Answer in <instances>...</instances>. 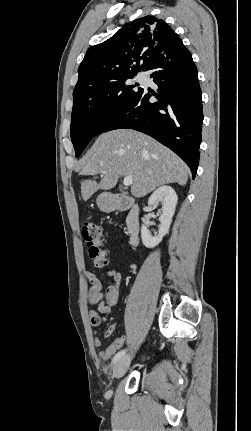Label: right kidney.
Wrapping results in <instances>:
<instances>
[{
    "label": "right kidney",
    "mask_w": 251,
    "mask_h": 431,
    "mask_svg": "<svg viewBox=\"0 0 251 431\" xmlns=\"http://www.w3.org/2000/svg\"><path fill=\"white\" fill-rule=\"evenodd\" d=\"M177 194L174 189L170 186H161L156 189L148 200V205H155L159 202L162 203V214L159 218L161 225L159 228V234L152 236L148 228L143 224L141 227V238L143 245L147 248H154L168 234L175 208L177 204ZM147 218V216H145Z\"/></svg>",
    "instance_id": "right-kidney-1"
}]
</instances>
